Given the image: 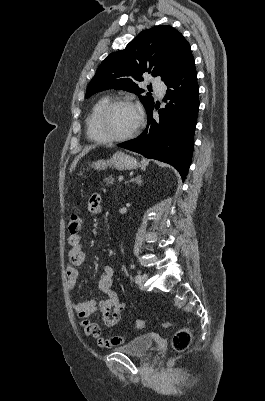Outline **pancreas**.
<instances>
[{"label": "pancreas", "mask_w": 265, "mask_h": 401, "mask_svg": "<svg viewBox=\"0 0 265 401\" xmlns=\"http://www.w3.org/2000/svg\"><path fill=\"white\" fill-rule=\"evenodd\" d=\"M114 180L115 178H113V176H107V178H104V182H106L107 186H109V184H114Z\"/></svg>", "instance_id": "1"}]
</instances>
